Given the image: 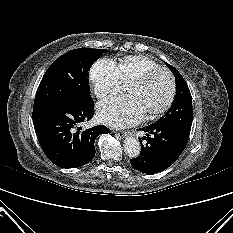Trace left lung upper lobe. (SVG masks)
Segmentation results:
<instances>
[{
	"mask_svg": "<svg viewBox=\"0 0 233 233\" xmlns=\"http://www.w3.org/2000/svg\"><path fill=\"white\" fill-rule=\"evenodd\" d=\"M166 64L175 75L176 96L166 114L156 122L172 125L180 132L189 135L193 117L191 93L186 81L178 70L170 64Z\"/></svg>",
	"mask_w": 233,
	"mask_h": 233,
	"instance_id": "obj_1",
	"label": "left lung upper lobe"
}]
</instances>
